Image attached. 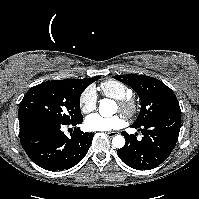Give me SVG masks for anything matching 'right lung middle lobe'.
<instances>
[{
  "label": "right lung middle lobe",
  "mask_w": 199,
  "mask_h": 199,
  "mask_svg": "<svg viewBox=\"0 0 199 199\" xmlns=\"http://www.w3.org/2000/svg\"><path fill=\"white\" fill-rule=\"evenodd\" d=\"M86 87L75 79L47 81L34 86L19 105V119L41 117L61 123L82 119L79 101Z\"/></svg>",
  "instance_id": "dd1d6c3e"
}]
</instances>
